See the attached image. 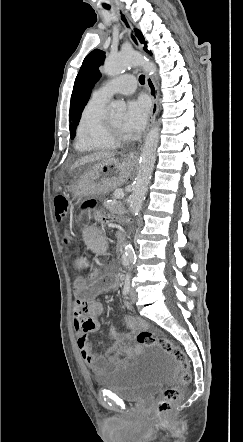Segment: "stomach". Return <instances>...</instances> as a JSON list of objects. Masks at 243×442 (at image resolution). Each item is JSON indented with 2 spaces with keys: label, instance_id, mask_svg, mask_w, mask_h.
<instances>
[{
  "label": "stomach",
  "instance_id": "1",
  "mask_svg": "<svg viewBox=\"0 0 243 442\" xmlns=\"http://www.w3.org/2000/svg\"><path fill=\"white\" fill-rule=\"evenodd\" d=\"M134 165L135 161L130 156L102 160L72 184L70 191L79 198L108 193L116 189L128 177Z\"/></svg>",
  "mask_w": 243,
  "mask_h": 442
}]
</instances>
